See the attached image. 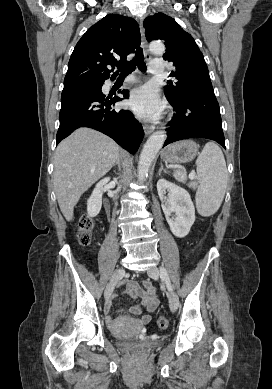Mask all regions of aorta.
I'll use <instances>...</instances> for the list:
<instances>
[{
  "label": "aorta",
  "mask_w": 272,
  "mask_h": 389,
  "mask_svg": "<svg viewBox=\"0 0 272 389\" xmlns=\"http://www.w3.org/2000/svg\"><path fill=\"white\" fill-rule=\"evenodd\" d=\"M150 51L156 55H162L165 47L161 42H152L149 46ZM166 133L164 131H157L153 133L145 143L139 158L138 163V179L144 181L148 175L150 166L155 159L158 151L163 146L166 140Z\"/></svg>",
  "instance_id": "aorta-1"
}]
</instances>
